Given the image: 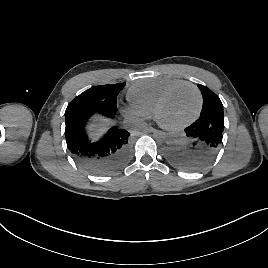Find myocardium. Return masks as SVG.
Listing matches in <instances>:
<instances>
[{
  "label": "myocardium",
  "instance_id": "obj_1",
  "mask_svg": "<svg viewBox=\"0 0 268 268\" xmlns=\"http://www.w3.org/2000/svg\"><path fill=\"white\" fill-rule=\"evenodd\" d=\"M183 87H190L192 88L198 97V105H197V109L194 113V115L189 118L188 120L182 122L181 124L178 125H168L166 123H164L161 119H160V111L162 109V107L164 106V104L167 102V100L180 88ZM203 107V96L202 93L200 91V89L194 85L193 83L190 82H181L179 84L174 85L173 87H171L170 89H168L159 99V101L156 104L155 110H154V118L156 120V122L158 123L159 126H161L163 129H166L168 131H180L186 127H188L189 125H191L200 115L201 110Z\"/></svg>",
  "mask_w": 268,
  "mask_h": 268
}]
</instances>
